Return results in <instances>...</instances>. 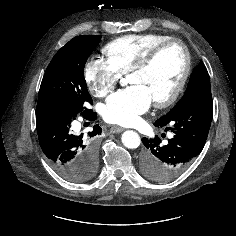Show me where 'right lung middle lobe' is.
<instances>
[{
  "instance_id": "right-lung-middle-lobe-1",
  "label": "right lung middle lobe",
  "mask_w": 236,
  "mask_h": 236,
  "mask_svg": "<svg viewBox=\"0 0 236 236\" xmlns=\"http://www.w3.org/2000/svg\"><path fill=\"white\" fill-rule=\"evenodd\" d=\"M98 35H81L70 40L53 57L41 82L37 105L50 104L74 112L86 110L92 104L83 70L93 49L99 44ZM97 167L93 157L81 170L79 181L90 179Z\"/></svg>"
}]
</instances>
